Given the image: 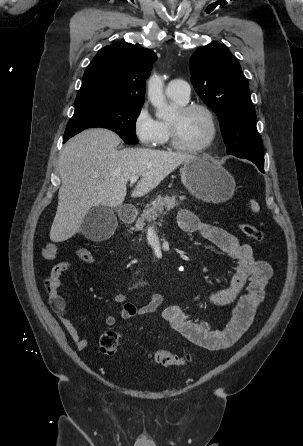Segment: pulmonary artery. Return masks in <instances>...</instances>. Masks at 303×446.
<instances>
[{
  "label": "pulmonary artery",
  "instance_id": "e3ab8cb5",
  "mask_svg": "<svg viewBox=\"0 0 303 446\" xmlns=\"http://www.w3.org/2000/svg\"><path fill=\"white\" fill-rule=\"evenodd\" d=\"M166 91L169 96L177 97L185 101H187L190 96V86L182 79L171 80L167 85Z\"/></svg>",
  "mask_w": 303,
  "mask_h": 446
}]
</instances>
